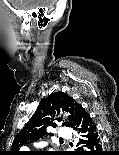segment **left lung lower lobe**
<instances>
[{
    "instance_id": "0a47b994",
    "label": "left lung lower lobe",
    "mask_w": 119,
    "mask_h": 155,
    "mask_svg": "<svg viewBox=\"0 0 119 155\" xmlns=\"http://www.w3.org/2000/svg\"><path fill=\"white\" fill-rule=\"evenodd\" d=\"M75 130L79 131L81 139L82 151L79 155H103L101 152V141L96 126L90 115L85 109L78 104L75 111V119L73 122Z\"/></svg>"
}]
</instances>
